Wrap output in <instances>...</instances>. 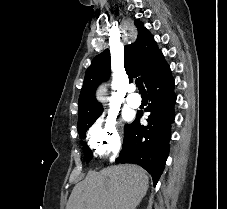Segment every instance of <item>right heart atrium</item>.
I'll return each mask as SVG.
<instances>
[{
    "mask_svg": "<svg viewBox=\"0 0 227 209\" xmlns=\"http://www.w3.org/2000/svg\"><path fill=\"white\" fill-rule=\"evenodd\" d=\"M87 141L96 156H106L120 147L121 139L113 119L98 120L87 133Z\"/></svg>",
    "mask_w": 227,
    "mask_h": 209,
    "instance_id": "d8ad5b80",
    "label": "right heart atrium"
}]
</instances>
